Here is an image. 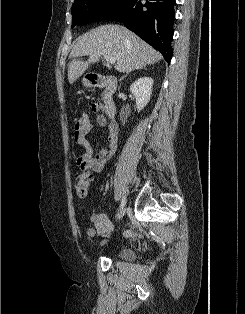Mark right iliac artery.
I'll return each instance as SVG.
<instances>
[{"instance_id":"82829eb1","label":"right iliac artery","mask_w":245,"mask_h":314,"mask_svg":"<svg viewBox=\"0 0 245 314\" xmlns=\"http://www.w3.org/2000/svg\"><path fill=\"white\" fill-rule=\"evenodd\" d=\"M125 199H122V201H121V204H120V208H119V211L121 210V209H123V207L125 206Z\"/></svg>"}]
</instances>
